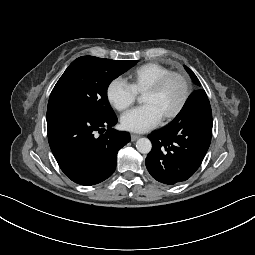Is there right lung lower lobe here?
I'll return each mask as SVG.
<instances>
[{
	"instance_id": "1",
	"label": "right lung lower lobe",
	"mask_w": 255,
	"mask_h": 255,
	"mask_svg": "<svg viewBox=\"0 0 255 255\" xmlns=\"http://www.w3.org/2000/svg\"><path fill=\"white\" fill-rule=\"evenodd\" d=\"M116 123L115 114L101 117L72 107L47 109L49 145L69 179L88 186L113 174L118 151L130 141L129 133L112 128Z\"/></svg>"
}]
</instances>
